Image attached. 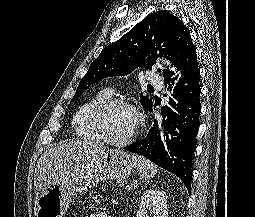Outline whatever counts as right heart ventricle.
I'll use <instances>...</instances> for the list:
<instances>
[{
	"mask_svg": "<svg viewBox=\"0 0 255 217\" xmlns=\"http://www.w3.org/2000/svg\"><path fill=\"white\" fill-rule=\"evenodd\" d=\"M108 90H101L79 106L72 118V126L76 135L84 140H99L90 122V114L93 109L103 101L110 98Z\"/></svg>",
	"mask_w": 255,
	"mask_h": 217,
	"instance_id": "right-heart-ventricle-1",
	"label": "right heart ventricle"
}]
</instances>
